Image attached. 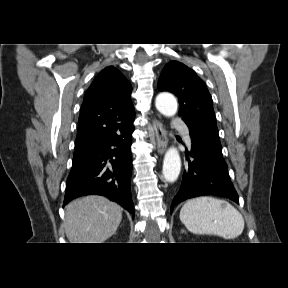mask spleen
<instances>
[{
	"label": "spleen",
	"mask_w": 288,
	"mask_h": 288,
	"mask_svg": "<svg viewBox=\"0 0 288 288\" xmlns=\"http://www.w3.org/2000/svg\"><path fill=\"white\" fill-rule=\"evenodd\" d=\"M180 220L197 235H217L234 239L244 230L242 214L230 203L213 197H198L187 201L180 210Z\"/></svg>",
	"instance_id": "1"
}]
</instances>
